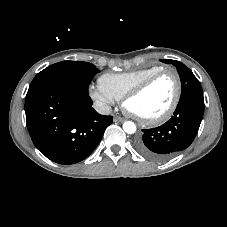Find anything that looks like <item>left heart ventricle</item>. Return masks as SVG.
Segmentation results:
<instances>
[{
  "mask_svg": "<svg viewBox=\"0 0 227 227\" xmlns=\"http://www.w3.org/2000/svg\"><path fill=\"white\" fill-rule=\"evenodd\" d=\"M175 80L171 74L156 79L145 91L130 99L127 109L142 117L153 118L162 114L171 104L175 95Z\"/></svg>",
  "mask_w": 227,
  "mask_h": 227,
  "instance_id": "left-heart-ventricle-1",
  "label": "left heart ventricle"
}]
</instances>
